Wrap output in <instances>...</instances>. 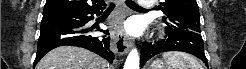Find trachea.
I'll return each instance as SVG.
<instances>
[{
  "label": "trachea",
  "instance_id": "obj_1",
  "mask_svg": "<svg viewBox=\"0 0 246 69\" xmlns=\"http://www.w3.org/2000/svg\"><path fill=\"white\" fill-rule=\"evenodd\" d=\"M126 4H127L128 6H130V7L142 9L141 6H139L138 4H136V3H135L134 1H132V0H126ZM114 6H115V5H114L113 3H111L110 6L106 9V11H112V10L114 9Z\"/></svg>",
  "mask_w": 246,
  "mask_h": 69
}]
</instances>
